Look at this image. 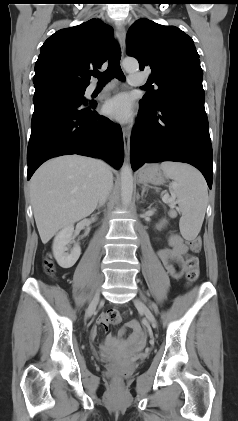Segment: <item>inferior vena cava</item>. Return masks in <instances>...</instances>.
<instances>
[{
    "label": "inferior vena cava",
    "instance_id": "inferior-vena-cava-1",
    "mask_svg": "<svg viewBox=\"0 0 238 421\" xmlns=\"http://www.w3.org/2000/svg\"><path fill=\"white\" fill-rule=\"evenodd\" d=\"M98 168V191L97 199L99 204H105L109 192L113 186V176L110 167L102 160H97Z\"/></svg>",
    "mask_w": 238,
    "mask_h": 421
}]
</instances>
